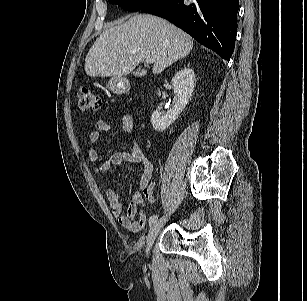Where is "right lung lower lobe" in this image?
I'll return each mask as SVG.
<instances>
[{
  "instance_id": "1",
  "label": "right lung lower lobe",
  "mask_w": 307,
  "mask_h": 301,
  "mask_svg": "<svg viewBox=\"0 0 307 301\" xmlns=\"http://www.w3.org/2000/svg\"><path fill=\"white\" fill-rule=\"evenodd\" d=\"M239 0H157L141 11L163 17L229 61Z\"/></svg>"
}]
</instances>
